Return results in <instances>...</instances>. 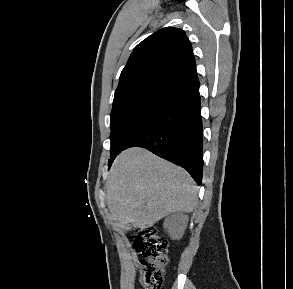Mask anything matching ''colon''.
Instances as JSON below:
<instances>
[{
    "instance_id": "5ec220e1",
    "label": "colon",
    "mask_w": 293,
    "mask_h": 289,
    "mask_svg": "<svg viewBox=\"0 0 293 289\" xmlns=\"http://www.w3.org/2000/svg\"><path fill=\"white\" fill-rule=\"evenodd\" d=\"M134 245L142 254L140 261V281L144 289H161L165 270L169 263L166 241L149 226L142 227Z\"/></svg>"
}]
</instances>
